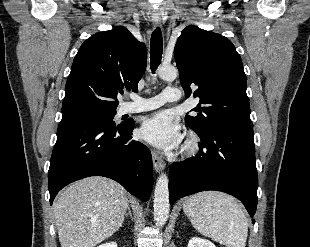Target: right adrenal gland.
Instances as JSON below:
<instances>
[{
  "label": "right adrenal gland",
  "mask_w": 310,
  "mask_h": 247,
  "mask_svg": "<svg viewBox=\"0 0 310 247\" xmlns=\"http://www.w3.org/2000/svg\"><path fill=\"white\" fill-rule=\"evenodd\" d=\"M127 209H128V212L126 214V217L129 215L132 218V213H131L130 207L128 206Z\"/></svg>",
  "instance_id": "1"
}]
</instances>
